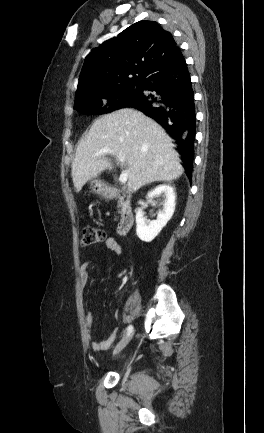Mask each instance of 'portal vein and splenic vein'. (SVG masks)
<instances>
[{"label":"portal vein and splenic vein","instance_id":"18ae733b","mask_svg":"<svg viewBox=\"0 0 264 433\" xmlns=\"http://www.w3.org/2000/svg\"><path fill=\"white\" fill-rule=\"evenodd\" d=\"M106 154L115 155L121 165H123L126 161V158L124 155H122L120 153H116L115 151H113L109 148H102V149L98 150L95 154V157H97L99 155H106ZM127 180H128V171L125 170L120 174L119 181H120V183L125 184L127 182Z\"/></svg>","mask_w":264,"mask_h":433}]
</instances>
